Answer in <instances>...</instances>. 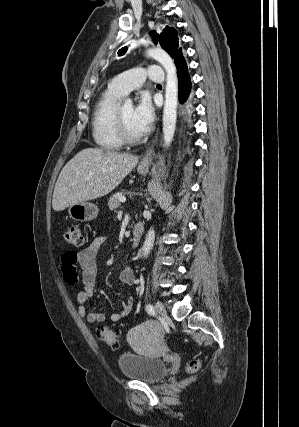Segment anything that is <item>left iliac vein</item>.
Listing matches in <instances>:
<instances>
[{"mask_svg":"<svg viewBox=\"0 0 299 427\" xmlns=\"http://www.w3.org/2000/svg\"><path fill=\"white\" fill-rule=\"evenodd\" d=\"M155 307H156V311L158 312V314H159L162 318H166V316H167L166 309H165L164 305H163L160 301H157V302H156Z\"/></svg>","mask_w":299,"mask_h":427,"instance_id":"4c4485c4","label":"left iliac vein"}]
</instances>
